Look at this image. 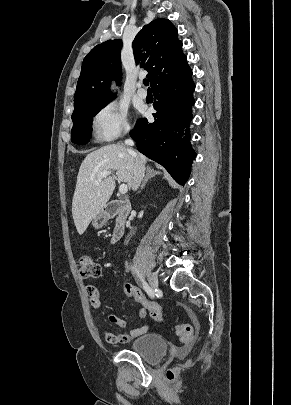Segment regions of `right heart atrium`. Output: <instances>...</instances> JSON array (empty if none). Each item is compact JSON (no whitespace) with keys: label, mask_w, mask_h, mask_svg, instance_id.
I'll return each mask as SVG.
<instances>
[{"label":"right heart atrium","mask_w":291,"mask_h":405,"mask_svg":"<svg viewBox=\"0 0 291 405\" xmlns=\"http://www.w3.org/2000/svg\"><path fill=\"white\" fill-rule=\"evenodd\" d=\"M94 137L98 142H109L130 129L128 110L117 102L102 106L92 119Z\"/></svg>","instance_id":"obj_1"}]
</instances>
